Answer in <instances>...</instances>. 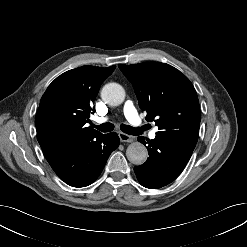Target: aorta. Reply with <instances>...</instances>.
I'll return each mask as SVG.
<instances>
[{
    "instance_id": "1",
    "label": "aorta",
    "mask_w": 247,
    "mask_h": 247,
    "mask_svg": "<svg viewBox=\"0 0 247 247\" xmlns=\"http://www.w3.org/2000/svg\"><path fill=\"white\" fill-rule=\"evenodd\" d=\"M101 98L108 105L118 106L125 99V90L118 83H108L101 90ZM126 156L134 165H141L147 160L148 151L140 142H133L127 147Z\"/></svg>"
}]
</instances>
